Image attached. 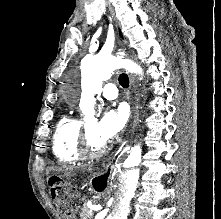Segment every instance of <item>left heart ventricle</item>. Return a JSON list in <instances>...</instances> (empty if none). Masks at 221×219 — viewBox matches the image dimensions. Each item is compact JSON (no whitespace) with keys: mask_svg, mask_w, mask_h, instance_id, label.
<instances>
[{"mask_svg":"<svg viewBox=\"0 0 221 219\" xmlns=\"http://www.w3.org/2000/svg\"><path fill=\"white\" fill-rule=\"evenodd\" d=\"M87 127L89 129V136H90V141L92 145L95 147L101 145L103 141H101L95 134V127H96L95 122H89L87 124Z\"/></svg>","mask_w":221,"mask_h":219,"instance_id":"left-heart-ventricle-1","label":"left heart ventricle"}]
</instances>
